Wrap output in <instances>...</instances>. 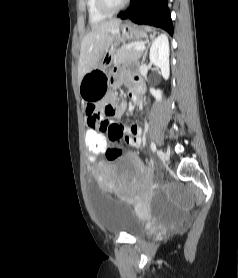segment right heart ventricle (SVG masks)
Returning <instances> with one entry per match:
<instances>
[{
    "label": "right heart ventricle",
    "instance_id": "right-heart-ventricle-1",
    "mask_svg": "<svg viewBox=\"0 0 238 278\" xmlns=\"http://www.w3.org/2000/svg\"><path fill=\"white\" fill-rule=\"evenodd\" d=\"M86 8L89 21L92 24L100 23L108 17V15H105L98 10L96 0H86Z\"/></svg>",
    "mask_w": 238,
    "mask_h": 278
}]
</instances>
